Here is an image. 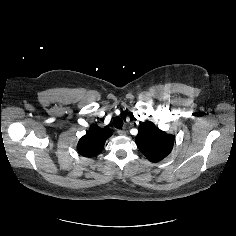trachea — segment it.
Returning a JSON list of instances; mask_svg holds the SVG:
<instances>
[{
  "label": "trachea",
  "mask_w": 236,
  "mask_h": 236,
  "mask_svg": "<svg viewBox=\"0 0 236 236\" xmlns=\"http://www.w3.org/2000/svg\"><path fill=\"white\" fill-rule=\"evenodd\" d=\"M113 126L117 129H121L123 126V120L120 117H115L113 119Z\"/></svg>",
  "instance_id": "obj_1"
}]
</instances>
